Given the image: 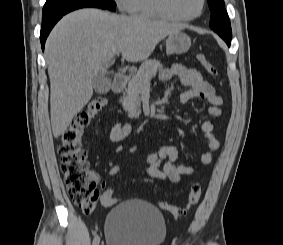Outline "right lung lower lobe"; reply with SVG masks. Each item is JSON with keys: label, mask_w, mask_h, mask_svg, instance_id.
<instances>
[{"label": "right lung lower lobe", "mask_w": 283, "mask_h": 245, "mask_svg": "<svg viewBox=\"0 0 283 245\" xmlns=\"http://www.w3.org/2000/svg\"><path fill=\"white\" fill-rule=\"evenodd\" d=\"M84 7H96V8H103V9H109L112 11H115L114 6H109V5H85V6H78V7H73L70 9H67L65 11L57 12L52 15H49L47 17L42 18V26H41V33H40V41H41V46L42 49L44 50V45L45 41L47 39V36L49 35L51 29L54 27V25L58 22L59 19H61L65 14Z\"/></svg>", "instance_id": "98d812e1"}]
</instances>
